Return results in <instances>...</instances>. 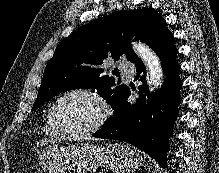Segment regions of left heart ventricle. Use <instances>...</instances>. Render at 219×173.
<instances>
[{
	"instance_id": "b2bd125f",
	"label": "left heart ventricle",
	"mask_w": 219,
	"mask_h": 173,
	"mask_svg": "<svg viewBox=\"0 0 219 173\" xmlns=\"http://www.w3.org/2000/svg\"><path fill=\"white\" fill-rule=\"evenodd\" d=\"M100 114L99 104L93 98L82 94L66 97L57 109L60 124L69 131L86 129L98 119Z\"/></svg>"
}]
</instances>
